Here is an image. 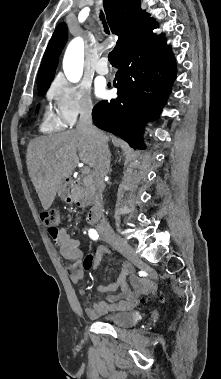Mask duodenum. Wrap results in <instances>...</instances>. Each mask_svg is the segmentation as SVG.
<instances>
[{
    "label": "duodenum",
    "mask_w": 221,
    "mask_h": 379,
    "mask_svg": "<svg viewBox=\"0 0 221 379\" xmlns=\"http://www.w3.org/2000/svg\"><path fill=\"white\" fill-rule=\"evenodd\" d=\"M68 185L71 190L72 182L68 181ZM72 199H73L72 196H70L68 200H72ZM102 210H103L102 201L97 200L87 214V217H86L87 222L91 224L96 223L102 215Z\"/></svg>",
    "instance_id": "1"
}]
</instances>
